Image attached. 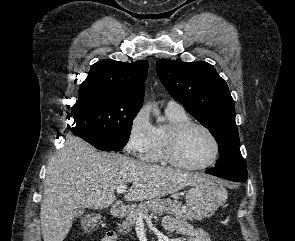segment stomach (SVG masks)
<instances>
[{
	"label": "stomach",
	"instance_id": "0dacf381",
	"mask_svg": "<svg viewBox=\"0 0 295 241\" xmlns=\"http://www.w3.org/2000/svg\"><path fill=\"white\" fill-rule=\"evenodd\" d=\"M227 199V190L213 180L191 185L186 194L187 207L198 217L214 215Z\"/></svg>",
	"mask_w": 295,
	"mask_h": 241
}]
</instances>
